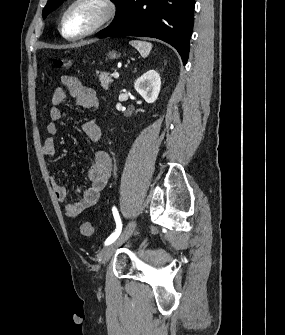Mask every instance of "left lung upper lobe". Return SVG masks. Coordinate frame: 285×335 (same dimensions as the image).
Masks as SVG:
<instances>
[{
  "label": "left lung upper lobe",
  "instance_id": "left-lung-upper-lobe-1",
  "mask_svg": "<svg viewBox=\"0 0 285 335\" xmlns=\"http://www.w3.org/2000/svg\"><path fill=\"white\" fill-rule=\"evenodd\" d=\"M63 0H48L47 5L43 9V18H45L52 10H54L56 7H58ZM116 3V6L122 1V0H112Z\"/></svg>",
  "mask_w": 285,
  "mask_h": 335
}]
</instances>
